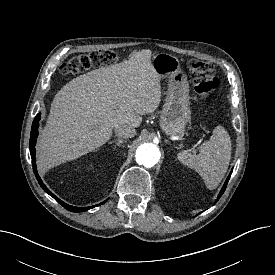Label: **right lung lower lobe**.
I'll return each mask as SVG.
<instances>
[{
	"label": "right lung lower lobe",
	"mask_w": 275,
	"mask_h": 275,
	"mask_svg": "<svg viewBox=\"0 0 275 275\" xmlns=\"http://www.w3.org/2000/svg\"><path fill=\"white\" fill-rule=\"evenodd\" d=\"M39 121H40V114H38L33 121L32 127H31V134H30V153H31V157H32V165H33V171L35 173L36 179L38 180L39 184L41 185V187L43 188V190L45 192H47L50 196H52L59 204H61L64 208H66L67 210L71 211V212H83V211H87L89 209H92L96 206L102 205L104 204L106 201L95 205V206H90V207H73L71 205H68L66 203H64L63 201H61L60 199H58L52 192H50V190L43 184L41 178L39 177V175L37 174V170H36V165H35V144H36V137L38 135L37 133V129L39 127Z\"/></svg>",
	"instance_id": "98d812e1"
}]
</instances>
